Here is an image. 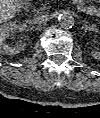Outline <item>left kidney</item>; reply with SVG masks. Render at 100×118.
I'll use <instances>...</instances> for the list:
<instances>
[{"label": "left kidney", "mask_w": 100, "mask_h": 118, "mask_svg": "<svg viewBox=\"0 0 100 118\" xmlns=\"http://www.w3.org/2000/svg\"><path fill=\"white\" fill-rule=\"evenodd\" d=\"M91 56L95 59H99L100 58V52L99 51H92Z\"/></svg>", "instance_id": "left-kidney-1"}]
</instances>
